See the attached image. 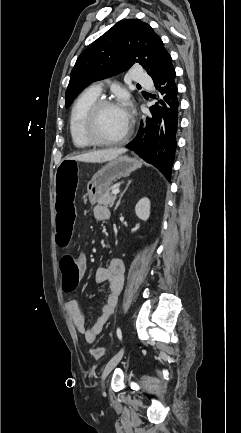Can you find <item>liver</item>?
<instances>
[{"label":"liver","mask_w":241,"mask_h":433,"mask_svg":"<svg viewBox=\"0 0 241 433\" xmlns=\"http://www.w3.org/2000/svg\"><path fill=\"white\" fill-rule=\"evenodd\" d=\"M126 152V149H107V150H100V151H93L81 155H76L72 157H68L66 159L81 161V162H88V163H102L106 161H111L118 157L120 154H123Z\"/></svg>","instance_id":"6515ba94"}]
</instances>
